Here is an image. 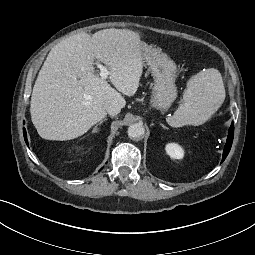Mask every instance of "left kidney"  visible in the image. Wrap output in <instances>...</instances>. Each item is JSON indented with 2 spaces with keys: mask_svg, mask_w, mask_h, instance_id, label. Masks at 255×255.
Segmentation results:
<instances>
[{
  "mask_svg": "<svg viewBox=\"0 0 255 255\" xmlns=\"http://www.w3.org/2000/svg\"><path fill=\"white\" fill-rule=\"evenodd\" d=\"M167 154L173 159H182L184 150L176 143H169L165 147Z\"/></svg>",
  "mask_w": 255,
  "mask_h": 255,
  "instance_id": "left-kidney-1",
  "label": "left kidney"
}]
</instances>
